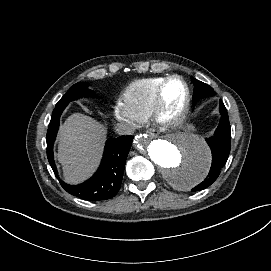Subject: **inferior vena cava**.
<instances>
[{
    "instance_id": "inferior-vena-cava-1",
    "label": "inferior vena cava",
    "mask_w": 271,
    "mask_h": 271,
    "mask_svg": "<svg viewBox=\"0 0 271 271\" xmlns=\"http://www.w3.org/2000/svg\"><path fill=\"white\" fill-rule=\"evenodd\" d=\"M116 131L119 135H131L132 134V127L128 124H120L117 128Z\"/></svg>"
}]
</instances>
